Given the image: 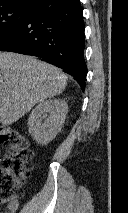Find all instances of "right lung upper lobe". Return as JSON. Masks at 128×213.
I'll return each instance as SVG.
<instances>
[{"instance_id": "1", "label": "right lung upper lobe", "mask_w": 128, "mask_h": 213, "mask_svg": "<svg viewBox=\"0 0 128 213\" xmlns=\"http://www.w3.org/2000/svg\"><path fill=\"white\" fill-rule=\"evenodd\" d=\"M39 0H0V7L6 5L25 6L32 8Z\"/></svg>"}]
</instances>
